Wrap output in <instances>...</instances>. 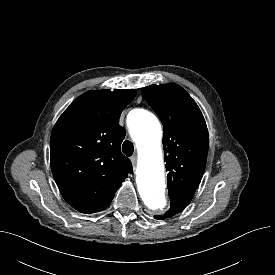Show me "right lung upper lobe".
Here are the masks:
<instances>
[{
    "instance_id": "obj_1",
    "label": "right lung upper lobe",
    "mask_w": 275,
    "mask_h": 275,
    "mask_svg": "<svg viewBox=\"0 0 275 275\" xmlns=\"http://www.w3.org/2000/svg\"><path fill=\"white\" fill-rule=\"evenodd\" d=\"M134 89L88 91L59 117L50 140L51 170L65 201L82 213L106 208L133 173L121 153L125 130L119 125Z\"/></svg>"
}]
</instances>
